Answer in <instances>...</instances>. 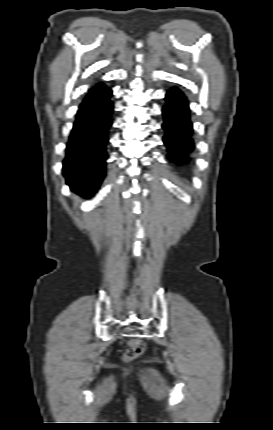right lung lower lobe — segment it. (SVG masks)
I'll return each instance as SVG.
<instances>
[{
    "instance_id": "1",
    "label": "right lung lower lobe",
    "mask_w": 273,
    "mask_h": 430,
    "mask_svg": "<svg viewBox=\"0 0 273 430\" xmlns=\"http://www.w3.org/2000/svg\"><path fill=\"white\" fill-rule=\"evenodd\" d=\"M112 91L97 84L85 97L66 148L63 174L71 190L90 198L105 176L108 130L112 126Z\"/></svg>"
}]
</instances>
